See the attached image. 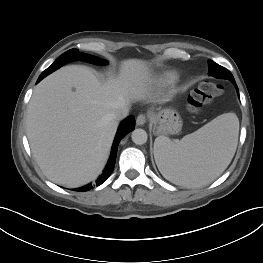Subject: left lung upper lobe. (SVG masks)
<instances>
[{
	"instance_id": "left-lung-upper-lobe-1",
	"label": "left lung upper lobe",
	"mask_w": 263,
	"mask_h": 263,
	"mask_svg": "<svg viewBox=\"0 0 263 263\" xmlns=\"http://www.w3.org/2000/svg\"><path fill=\"white\" fill-rule=\"evenodd\" d=\"M208 63H209V66H213L216 71V75H214V77L224 78V79L231 80L232 82H235L234 77L229 70H227L226 68L218 65L217 63L211 60H209Z\"/></svg>"
}]
</instances>
